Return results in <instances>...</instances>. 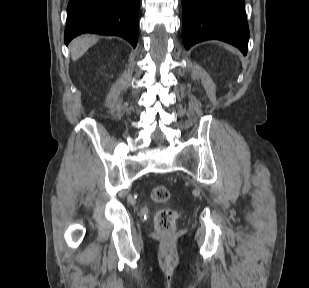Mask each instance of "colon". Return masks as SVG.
Returning a JSON list of instances; mask_svg holds the SVG:
<instances>
[{"mask_svg": "<svg viewBox=\"0 0 309 288\" xmlns=\"http://www.w3.org/2000/svg\"><path fill=\"white\" fill-rule=\"evenodd\" d=\"M151 197L156 202H165L170 198V192L164 185H156L151 190ZM177 219V212L174 209L166 208L158 211L155 216V227L163 234L174 231Z\"/></svg>", "mask_w": 309, "mask_h": 288, "instance_id": "obj_1", "label": "colon"}]
</instances>
